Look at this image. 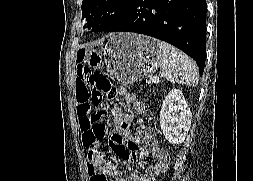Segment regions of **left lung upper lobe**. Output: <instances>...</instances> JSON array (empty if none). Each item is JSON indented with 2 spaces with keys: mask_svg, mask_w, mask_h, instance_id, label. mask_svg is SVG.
Here are the masks:
<instances>
[{
  "mask_svg": "<svg viewBox=\"0 0 253 181\" xmlns=\"http://www.w3.org/2000/svg\"><path fill=\"white\" fill-rule=\"evenodd\" d=\"M133 0H83L82 17L94 32L107 30L128 11Z\"/></svg>",
  "mask_w": 253,
  "mask_h": 181,
  "instance_id": "obj_1",
  "label": "left lung upper lobe"
}]
</instances>
